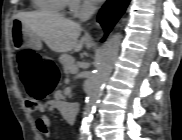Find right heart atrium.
Wrapping results in <instances>:
<instances>
[{
	"instance_id": "obj_1",
	"label": "right heart atrium",
	"mask_w": 182,
	"mask_h": 140,
	"mask_svg": "<svg viewBox=\"0 0 182 140\" xmlns=\"http://www.w3.org/2000/svg\"><path fill=\"white\" fill-rule=\"evenodd\" d=\"M92 8V5L83 0H71L69 2V9L73 14L81 15L89 12Z\"/></svg>"
}]
</instances>
